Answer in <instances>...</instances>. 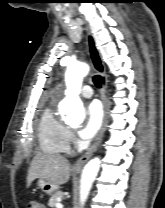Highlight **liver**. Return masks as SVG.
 <instances>
[{"instance_id": "6515ba94", "label": "liver", "mask_w": 165, "mask_h": 208, "mask_svg": "<svg viewBox=\"0 0 165 208\" xmlns=\"http://www.w3.org/2000/svg\"><path fill=\"white\" fill-rule=\"evenodd\" d=\"M36 178L47 180L59 187L67 183L70 178V163L60 155L39 153L30 164L27 187Z\"/></svg>"}]
</instances>
